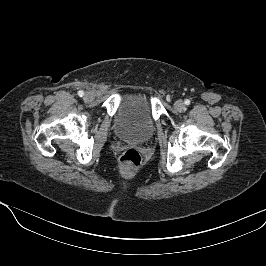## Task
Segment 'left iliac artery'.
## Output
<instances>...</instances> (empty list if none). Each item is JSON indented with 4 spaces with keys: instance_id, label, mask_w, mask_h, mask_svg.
<instances>
[{
    "instance_id": "44dca946",
    "label": "left iliac artery",
    "mask_w": 266,
    "mask_h": 266,
    "mask_svg": "<svg viewBox=\"0 0 266 266\" xmlns=\"http://www.w3.org/2000/svg\"><path fill=\"white\" fill-rule=\"evenodd\" d=\"M184 103H185L186 105H189V104H190V100L186 99Z\"/></svg>"
}]
</instances>
